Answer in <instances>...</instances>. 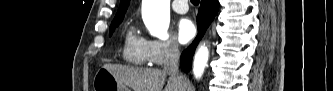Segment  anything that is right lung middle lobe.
<instances>
[{
    "label": "right lung middle lobe",
    "instance_id": "right-lung-middle-lobe-1",
    "mask_svg": "<svg viewBox=\"0 0 333 91\" xmlns=\"http://www.w3.org/2000/svg\"><path fill=\"white\" fill-rule=\"evenodd\" d=\"M123 18L114 19L110 25L109 35L111 36L115 30V28L122 22Z\"/></svg>",
    "mask_w": 333,
    "mask_h": 91
}]
</instances>
